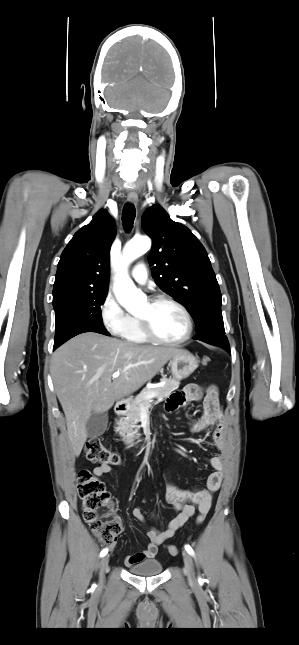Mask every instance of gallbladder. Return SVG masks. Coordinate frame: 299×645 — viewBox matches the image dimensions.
Masks as SVG:
<instances>
[{
	"label": "gallbladder",
	"mask_w": 299,
	"mask_h": 645,
	"mask_svg": "<svg viewBox=\"0 0 299 645\" xmlns=\"http://www.w3.org/2000/svg\"><path fill=\"white\" fill-rule=\"evenodd\" d=\"M108 413H93L86 424L88 437L101 436L107 429Z\"/></svg>",
	"instance_id": "obj_1"
}]
</instances>
